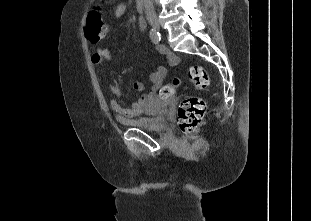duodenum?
Returning <instances> with one entry per match:
<instances>
[{
    "label": "duodenum",
    "mask_w": 311,
    "mask_h": 221,
    "mask_svg": "<svg viewBox=\"0 0 311 221\" xmlns=\"http://www.w3.org/2000/svg\"><path fill=\"white\" fill-rule=\"evenodd\" d=\"M145 1L146 0H135V6H136V9L138 11H143L144 10V6H145ZM138 26L140 28H144L145 27V22L144 21H139L138 22Z\"/></svg>",
    "instance_id": "1"
}]
</instances>
